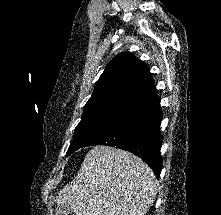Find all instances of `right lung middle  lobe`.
Masks as SVG:
<instances>
[{"instance_id": "right-lung-middle-lobe-1", "label": "right lung middle lobe", "mask_w": 221, "mask_h": 215, "mask_svg": "<svg viewBox=\"0 0 221 215\" xmlns=\"http://www.w3.org/2000/svg\"><path fill=\"white\" fill-rule=\"evenodd\" d=\"M120 118L119 116L105 113H84L80 123L75 128L74 138L66 156L84 147L88 142L106 131Z\"/></svg>"}]
</instances>
